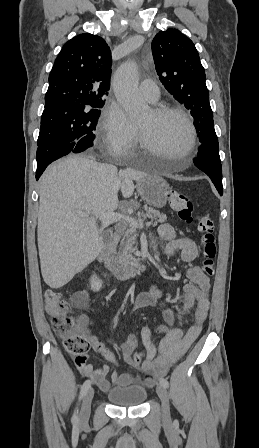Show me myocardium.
Returning <instances> with one entry per match:
<instances>
[{"mask_svg": "<svg viewBox=\"0 0 259 448\" xmlns=\"http://www.w3.org/2000/svg\"><path fill=\"white\" fill-rule=\"evenodd\" d=\"M152 112L156 117H162L167 114H175L183 119V121L187 125L189 137L186 144L182 148L181 157L185 161H191L193 158L197 133L195 125L190 116L182 108L176 105H166V104L155 105L152 108ZM138 130L141 138L142 148L146 152L156 153L159 149L149 141V139L147 138L142 129L138 127Z\"/></svg>", "mask_w": 259, "mask_h": 448, "instance_id": "myocardium-1", "label": "myocardium"}]
</instances>
